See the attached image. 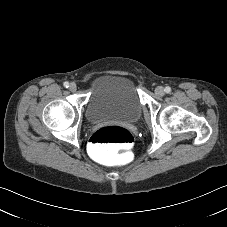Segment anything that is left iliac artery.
<instances>
[{"label": "left iliac artery", "instance_id": "left-iliac-artery-1", "mask_svg": "<svg viewBox=\"0 0 227 227\" xmlns=\"http://www.w3.org/2000/svg\"><path fill=\"white\" fill-rule=\"evenodd\" d=\"M165 92H166V93H170V92H171V88H170L169 86H167V87L165 88Z\"/></svg>", "mask_w": 227, "mask_h": 227}]
</instances>
